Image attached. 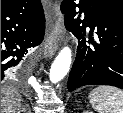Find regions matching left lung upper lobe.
<instances>
[{"label":"left lung upper lobe","instance_id":"left-lung-upper-lobe-1","mask_svg":"<svg viewBox=\"0 0 123 113\" xmlns=\"http://www.w3.org/2000/svg\"><path fill=\"white\" fill-rule=\"evenodd\" d=\"M120 3H123V1L122 0H118Z\"/></svg>","mask_w":123,"mask_h":113}]
</instances>
